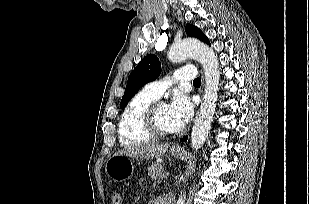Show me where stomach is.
Returning a JSON list of instances; mask_svg holds the SVG:
<instances>
[{
  "label": "stomach",
  "instance_id": "stomach-1",
  "mask_svg": "<svg viewBox=\"0 0 309 204\" xmlns=\"http://www.w3.org/2000/svg\"><path fill=\"white\" fill-rule=\"evenodd\" d=\"M169 153L173 157H179L182 155L183 150H174L170 148ZM135 165L133 158L126 155H113L111 156L105 165V171L107 176L114 181H122L129 178Z\"/></svg>",
  "mask_w": 309,
  "mask_h": 204
}]
</instances>
